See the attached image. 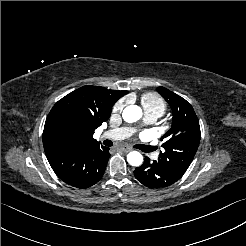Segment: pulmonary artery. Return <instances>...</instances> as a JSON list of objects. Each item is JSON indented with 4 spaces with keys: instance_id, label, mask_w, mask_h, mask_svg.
I'll use <instances>...</instances> for the list:
<instances>
[{
    "instance_id": "obj_1",
    "label": "pulmonary artery",
    "mask_w": 246,
    "mask_h": 246,
    "mask_svg": "<svg viewBox=\"0 0 246 246\" xmlns=\"http://www.w3.org/2000/svg\"><path fill=\"white\" fill-rule=\"evenodd\" d=\"M157 118H158L157 115L150 114V113L146 114V116H145V120L148 123H153L154 121L157 120ZM131 133H132V131L127 129V128H118V129H114V130H111V131L105 133L103 136L108 137V138L113 139V140H118V139L126 138Z\"/></svg>"
}]
</instances>
